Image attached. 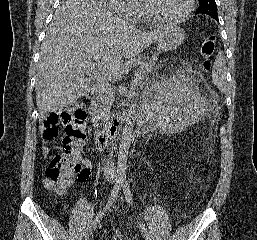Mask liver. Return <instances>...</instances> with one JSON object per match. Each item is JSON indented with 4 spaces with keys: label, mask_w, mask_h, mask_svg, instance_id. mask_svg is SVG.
Instances as JSON below:
<instances>
[{
    "label": "liver",
    "mask_w": 257,
    "mask_h": 240,
    "mask_svg": "<svg viewBox=\"0 0 257 240\" xmlns=\"http://www.w3.org/2000/svg\"><path fill=\"white\" fill-rule=\"evenodd\" d=\"M165 26L142 32L114 15L102 0H63L42 42L36 77L39 116L60 112L88 91L85 63L99 62L105 81H118L132 60Z\"/></svg>",
    "instance_id": "liver-1"
}]
</instances>
